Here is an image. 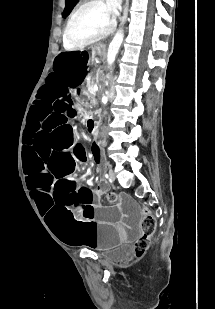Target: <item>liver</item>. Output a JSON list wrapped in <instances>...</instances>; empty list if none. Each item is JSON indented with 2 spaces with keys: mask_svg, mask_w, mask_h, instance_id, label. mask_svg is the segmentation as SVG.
I'll return each mask as SVG.
<instances>
[{
  "mask_svg": "<svg viewBox=\"0 0 215 309\" xmlns=\"http://www.w3.org/2000/svg\"><path fill=\"white\" fill-rule=\"evenodd\" d=\"M95 54H96V50H95L94 46H92V60H93Z\"/></svg>",
  "mask_w": 215,
  "mask_h": 309,
  "instance_id": "obj_1",
  "label": "liver"
}]
</instances>
